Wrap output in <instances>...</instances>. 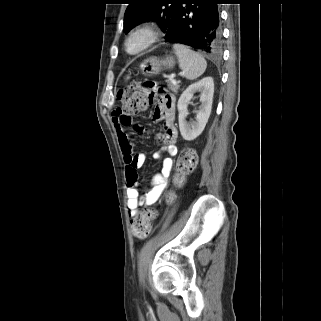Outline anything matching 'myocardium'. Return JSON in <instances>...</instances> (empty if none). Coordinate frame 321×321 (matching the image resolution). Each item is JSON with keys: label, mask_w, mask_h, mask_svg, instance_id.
Returning <instances> with one entry per match:
<instances>
[{"label": "myocardium", "mask_w": 321, "mask_h": 321, "mask_svg": "<svg viewBox=\"0 0 321 321\" xmlns=\"http://www.w3.org/2000/svg\"><path fill=\"white\" fill-rule=\"evenodd\" d=\"M137 35L145 36L144 44L137 50H130L129 43ZM160 31L154 23H143L134 27L126 36L124 41L125 51L130 55H138L152 47L159 39Z\"/></svg>", "instance_id": "f54148a6"}]
</instances>
